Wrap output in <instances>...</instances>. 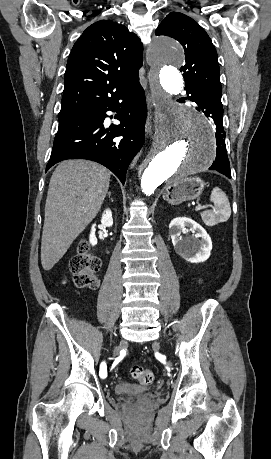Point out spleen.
Returning a JSON list of instances; mask_svg holds the SVG:
<instances>
[{"instance_id": "3e777b00", "label": "spleen", "mask_w": 271, "mask_h": 459, "mask_svg": "<svg viewBox=\"0 0 271 459\" xmlns=\"http://www.w3.org/2000/svg\"><path fill=\"white\" fill-rule=\"evenodd\" d=\"M210 200L215 205V208L213 212L202 214L205 224L207 226H215L220 222H227L231 216V208L226 194L220 188H214Z\"/></svg>"}]
</instances>
